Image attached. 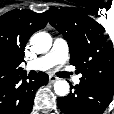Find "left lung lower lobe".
<instances>
[{"label": "left lung lower lobe", "mask_w": 114, "mask_h": 114, "mask_svg": "<svg viewBox=\"0 0 114 114\" xmlns=\"http://www.w3.org/2000/svg\"><path fill=\"white\" fill-rule=\"evenodd\" d=\"M73 92L57 99L59 109L65 114H102L110 104L114 87L81 80L72 86Z\"/></svg>", "instance_id": "1"}]
</instances>
